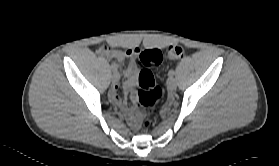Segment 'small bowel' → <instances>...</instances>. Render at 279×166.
Listing matches in <instances>:
<instances>
[{
    "label": "small bowel",
    "mask_w": 279,
    "mask_h": 166,
    "mask_svg": "<svg viewBox=\"0 0 279 166\" xmlns=\"http://www.w3.org/2000/svg\"><path fill=\"white\" fill-rule=\"evenodd\" d=\"M138 52L137 49L134 48H130L127 49L125 51H121V50H116L113 49L109 46H101L98 49V53L106 56L108 58H113L119 61H122L126 58H131L134 55H136ZM125 75L127 77V80L124 84V89L126 92H129L135 85L136 83V68L134 65L130 64L127 66V68L125 69ZM109 98L110 100L116 104L117 106H119L122 110H124L125 112L128 113V117L129 120L131 122V124L133 126L137 125V121H138V112L137 111H132V112H128L127 108L125 106V104L123 103V101L120 99L118 93H117V86L112 87V89L109 92Z\"/></svg>",
    "instance_id": "obj_1"
}]
</instances>
